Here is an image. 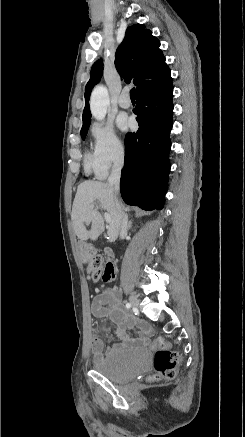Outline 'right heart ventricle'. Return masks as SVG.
<instances>
[{"label": "right heart ventricle", "mask_w": 245, "mask_h": 437, "mask_svg": "<svg viewBox=\"0 0 245 437\" xmlns=\"http://www.w3.org/2000/svg\"><path fill=\"white\" fill-rule=\"evenodd\" d=\"M84 166H85V169L87 171L94 170V164H93V160H92V156L91 155L86 154L85 160H84Z\"/></svg>", "instance_id": "right-heart-ventricle-1"}]
</instances>
